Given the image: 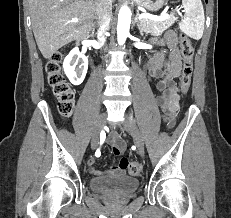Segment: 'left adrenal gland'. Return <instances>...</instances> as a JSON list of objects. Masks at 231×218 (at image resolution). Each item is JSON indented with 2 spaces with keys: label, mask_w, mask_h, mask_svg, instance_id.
I'll use <instances>...</instances> for the list:
<instances>
[{
  "label": "left adrenal gland",
  "mask_w": 231,
  "mask_h": 218,
  "mask_svg": "<svg viewBox=\"0 0 231 218\" xmlns=\"http://www.w3.org/2000/svg\"><path fill=\"white\" fill-rule=\"evenodd\" d=\"M138 15H139V11H137L134 24L137 25V27H138V29H139V32H140V35L143 36L144 33H143V30H142V28H141V26H140V23H139V21H138Z\"/></svg>",
  "instance_id": "obj_1"
}]
</instances>
